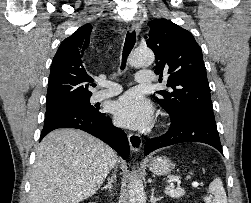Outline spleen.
<instances>
[{
    "mask_svg": "<svg viewBox=\"0 0 251 203\" xmlns=\"http://www.w3.org/2000/svg\"><path fill=\"white\" fill-rule=\"evenodd\" d=\"M209 192L214 195L204 197L206 203H227V197L225 190L223 188L222 180L216 177L209 185ZM165 193L173 198H179L185 194L184 189L174 188L173 186H168L165 188Z\"/></svg>",
    "mask_w": 251,
    "mask_h": 203,
    "instance_id": "spleen-1",
    "label": "spleen"
}]
</instances>
